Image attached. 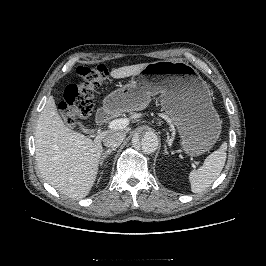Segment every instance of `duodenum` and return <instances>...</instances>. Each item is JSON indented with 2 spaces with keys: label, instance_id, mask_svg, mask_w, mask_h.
<instances>
[{
  "label": "duodenum",
  "instance_id": "410a0bca",
  "mask_svg": "<svg viewBox=\"0 0 266 266\" xmlns=\"http://www.w3.org/2000/svg\"><path fill=\"white\" fill-rule=\"evenodd\" d=\"M115 109L107 104L102 109H100L96 115V121L98 124L103 125L107 123L114 115Z\"/></svg>",
  "mask_w": 266,
  "mask_h": 266
}]
</instances>
